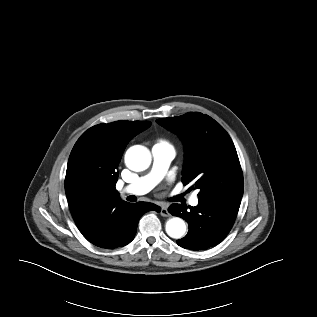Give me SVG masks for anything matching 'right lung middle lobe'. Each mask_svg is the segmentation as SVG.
<instances>
[{
    "instance_id": "right-lung-middle-lobe-1",
    "label": "right lung middle lobe",
    "mask_w": 317,
    "mask_h": 317,
    "mask_svg": "<svg viewBox=\"0 0 317 317\" xmlns=\"http://www.w3.org/2000/svg\"><path fill=\"white\" fill-rule=\"evenodd\" d=\"M83 192L86 194V195H92V196H99V193L95 190H92V189H84Z\"/></svg>"
}]
</instances>
